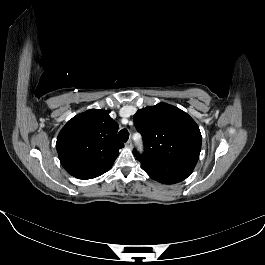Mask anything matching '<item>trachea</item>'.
Here are the masks:
<instances>
[{
  "mask_svg": "<svg viewBox=\"0 0 265 265\" xmlns=\"http://www.w3.org/2000/svg\"><path fill=\"white\" fill-rule=\"evenodd\" d=\"M117 138L121 142H126L128 140V138H129L128 130L127 129H122L121 131H119Z\"/></svg>",
  "mask_w": 265,
  "mask_h": 265,
  "instance_id": "obj_1",
  "label": "trachea"
}]
</instances>
